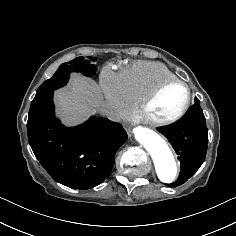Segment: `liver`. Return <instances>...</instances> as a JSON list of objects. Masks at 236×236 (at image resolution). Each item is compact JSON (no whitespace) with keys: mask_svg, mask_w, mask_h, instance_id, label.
Instances as JSON below:
<instances>
[{"mask_svg":"<svg viewBox=\"0 0 236 236\" xmlns=\"http://www.w3.org/2000/svg\"><path fill=\"white\" fill-rule=\"evenodd\" d=\"M73 91L61 90L57 92L58 106L63 110L65 120L75 123L84 118L89 109L102 105V94L98 85L91 79L81 76H73Z\"/></svg>","mask_w":236,"mask_h":236,"instance_id":"liver-1","label":"liver"}]
</instances>
